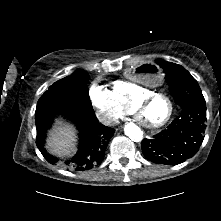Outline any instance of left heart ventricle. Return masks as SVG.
<instances>
[{
	"label": "left heart ventricle",
	"mask_w": 221,
	"mask_h": 221,
	"mask_svg": "<svg viewBox=\"0 0 221 221\" xmlns=\"http://www.w3.org/2000/svg\"><path fill=\"white\" fill-rule=\"evenodd\" d=\"M169 108L166 99L155 98L144 108V119L150 123L160 122L168 115Z\"/></svg>",
	"instance_id": "left-heart-ventricle-1"
}]
</instances>
